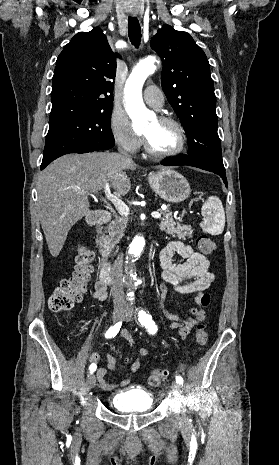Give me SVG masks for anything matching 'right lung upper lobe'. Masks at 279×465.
Here are the masks:
<instances>
[{"label": "right lung upper lobe", "mask_w": 279, "mask_h": 465, "mask_svg": "<svg viewBox=\"0 0 279 465\" xmlns=\"http://www.w3.org/2000/svg\"><path fill=\"white\" fill-rule=\"evenodd\" d=\"M115 75L116 56L102 30L77 33L56 61L50 124L112 107Z\"/></svg>", "instance_id": "cb5924a9"}]
</instances>
